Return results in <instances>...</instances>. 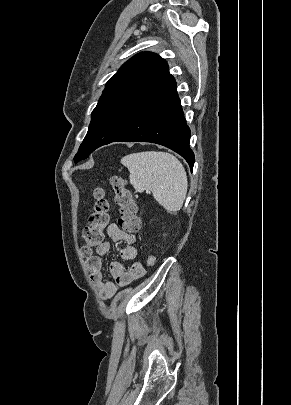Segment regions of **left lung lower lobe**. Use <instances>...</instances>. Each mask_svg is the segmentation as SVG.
<instances>
[{
    "label": "left lung lower lobe",
    "instance_id": "obj_1",
    "mask_svg": "<svg viewBox=\"0 0 291 405\" xmlns=\"http://www.w3.org/2000/svg\"><path fill=\"white\" fill-rule=\"evenodd\" d=\"M186 125L176 82L167 71L146 93L126 130L113 142H151L181 155L192 169L195 156L189 148Z\"/></svg>",
    "mask_w": 291,
    "mask_h": 405
}]
</instances>
